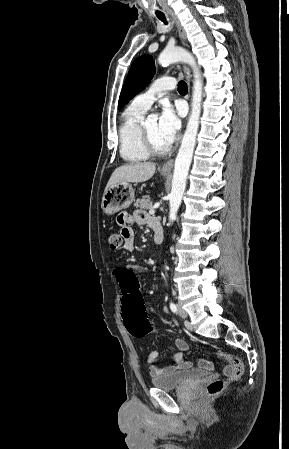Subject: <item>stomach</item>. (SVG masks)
<instances>
[{
	"mask_svg": "<svg viewBox=\"0 0 289 449\" xmlns=\"http://www.w3.org/2000/svg\"><path fill=\"white\" fill-rule=\"evenodd\" d=\"M166 175L165 173L163 174ZM135 200L133 186L130 182H120L109 187L103 195L101 207L105 214L112 215L129 207Z\"/></svg>",
	"mask_w": 289,
	"mask_h": 449,
	"instance_id": "obj_1",
	"label": "stomach"
}]
</instances>
